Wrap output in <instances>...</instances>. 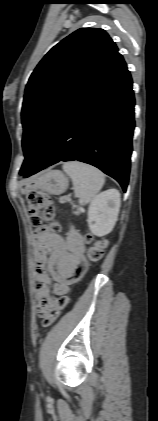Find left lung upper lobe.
Returning <instances> with one entry per match:
<instances>
[{
    "instance_id": "5c2ea615",
    "label": "left lung upper lobe",
    "mask_w": 158,
    "mask_h": 421,
    "mask_svg": "<svg viewBox=\"0 0 158 421\" xmlns=\"http://www.w3.org/2000/svg\"><path fill=\"white\" fill-rule=\"evenodd\" d=\"M118 52L103 29L80 28L55 45L29 78L22 107L23 175L35 162L58 119Z\"/></svg>"
}]
</instances>
